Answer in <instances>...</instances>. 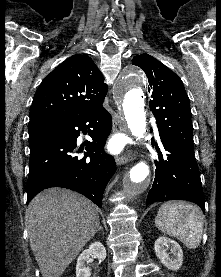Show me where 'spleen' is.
I'll return each instance as SVG.
<instances>
[{
	"label": "spleen",
	"mask_w": 221,
	"mask_h": 277,
	"mask_svg": "<svg viewBox=\"0 0 221 277\" xmlns=\"http://www.w3.org/2000/svg\"><path fill=\"white\" fill-rule=\"evenodd\" d=\"M156 227L163 233L178 238L185 246L195 249L203 233V218L193 204L176 201L162 204L155 218Z\"/></svg>",
	"instance_id": "1"
}]
</instances>
